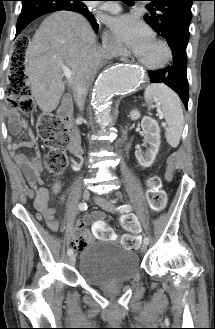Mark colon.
Instances as JSON below:
<instances>
[{"instance_id": "1", "label": "colon", "mask_w": 215, "mask_h": 329, "mask_svg": "<svg viewBox=\"0 0 215 329\" xmlns=\"http://www.w3.org/2000/svg\"><path fill=\"white\" fill-rule=\"evenodd\" d=\"M28 44H35V37H14V49L12 53V65L8 78V102L7 109H18L29 113L33 109L31 92L24 70L25 53ZM39 136L45 141L50 151L44 158L46 168L54 175L63 173L68 164L65 153L69 142L68 134L61 119L54 114H43L37 125ZM147 199L155 211H161L166 203V195L161 187V180L156 175H151L147 180ZM123 226L127 230L122 238V244L129 249H136L139 239L136 235L141 226L134 216H128L123 220Z\"/></svg>"}]
</instances>
